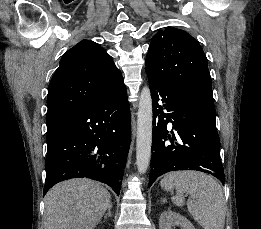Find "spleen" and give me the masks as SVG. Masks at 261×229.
<instances>
[{
  "instance_id": "spleen-1",
  "label": "spleen",
  "mask_w": 261,
  "mask_h": 229,
  "mask_svg": "<svg viewBox=\"0 0 261 229\" xmlns=\"http://www.w3.org/2000/svg\"><path fill=\"white\" fill-rule=\"evenodd\" d=\"M162 189H175L177 195L171 201L177 207L185 205V195L189 213L202 229H224L226 201L219 183L200 171H171L160 183Z\"/></svg>"
}]
</instances>
